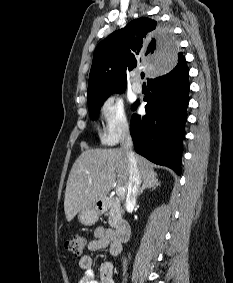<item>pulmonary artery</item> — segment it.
Here are the masks:
<instances>
[{
    "label": "pulmonary artery",
    "instance_id": "obj_1",
    "mask_svg": "<svg viewBox=\"0 0 233 283\" xmlns=\"http://www.w3.org/2000/svg\"><path fill=\"white\" fill-rule=\"evenodd\" d=\"M135 78L138 79V75H135ZM132 90L135 92V93H141L142 91V86L140 83L138 82H134L133 85H132Z\"/></svg>",
    "mask_w": 233,
    "mask_h": 283
}]
</instances>
